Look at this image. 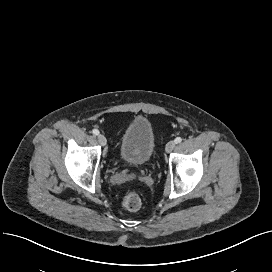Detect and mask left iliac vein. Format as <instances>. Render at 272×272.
I'll return each instance as SVG.
<instances>
[{
  "mask_svg": "<svg viewBox=\"0 0 272 272\" xmlns=\"http://www.w3.org/2000/svg\"><path fill=\"white\" fill-rule=\"evenodd\" d=\"M175 146H176L175 141L171 140V141H169V142L166 144V146H165V151H166L167 153H170V152L175 148Z\"/></svg>",
  "mask_w": 272,
  "mask_h": 272,
  "instance_id": "4c4485c4",
  "label": "left iliac vein"
}]
</instances>
